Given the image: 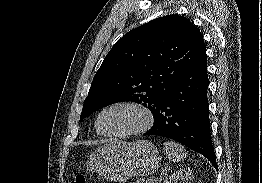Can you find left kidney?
Wrapping results in <instances>:
<instances>
[{
    "instance_id": "left-kidney-1",
    "label": "left kidney",
    "mask_w": 262,
    "mask_h": 183,
    "mask_svg": "<svg viewBox=\"0 0 262 183\" xmlns=\"http://www.w3.org/2000/svg\"><path fill=\"white\" fill-rule=\"evenodd\" d=\"M193 174L190 168L180 169L169 176L164 183H192Z\"/></svg>"
}]
</instances>
